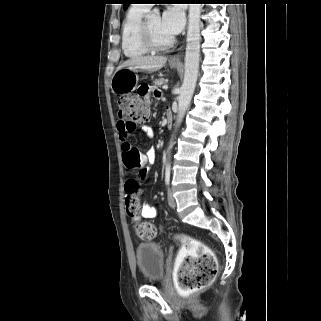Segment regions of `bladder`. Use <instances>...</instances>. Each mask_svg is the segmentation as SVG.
<instances>
[{
	"label": "bladder",
	"mask_w": 321,
	"mask_h": 321,
	"mask_svg": "<svg viewBox=\"0 0 321 321\" xmlns=\"http://www.w3.org/2000/svg\"><path fill=\"white\" fill-rule=\"evenodd\" d=\"M138 269L145 281L162 280L165 272L164 253L154 242L139 243L135 249Z\"/></svg>",
	"instance_id": "31cf9c89"
}]
</instances>
